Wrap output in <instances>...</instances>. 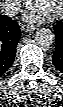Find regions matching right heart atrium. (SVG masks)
I'll use <instances>...</instances> for the list:
<instances>
[{"label": "right heart atrium", "instance_id": "d8ad5b80", "mask_svg": "<svg viewBox=\"0 0 63 107\" xmlns=\"http://www.w3.org/2000/svg\"><path fill=\"white\" fill-rule=\"evenodd\" d=\"M22 1L20 0H8L7 7L11 12H15L21 6Z\"/></svg>", "mask_w": 63, "mask_h": 107}]
</instances>
